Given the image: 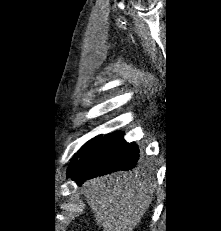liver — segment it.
Returning <instances> with one entry per match:
<instances>
[{
  "mask_svg": "<svg viewBox=\"0 0 221 231\" xmlns=\"http://www.w3.org/2000/svg\"><path fill=\"white\" fill-rule=\"evenodd\" d=\"M82 191L104 231H133L151 203L155 184L139 171L117 172L87 181Z\"/></svg>",
  "mask_w": 221,
  "mask_h": 231,
  "instance_id": "liver-1",
  "label": "liver"
}]
</instances>
